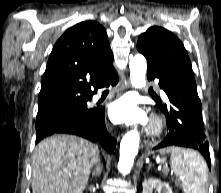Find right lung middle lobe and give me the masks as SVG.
I'll return each instance as SVG.
<instances>
[{
  "label": "right lung middle lobe",
  "instance_id": "obj_1",
  "mask_svg": "<svg viewBox=\"0 0 221 193\" xmlns=\"http://www.w3.org/2000/svg\"><path fill=\"white\" fill-rule=\"evenodd\" d=\"M87 99H54L39 103L36 118V132L56 130L66 125L89 122L95 109L87 108Z\"/></svg>",
  "mask_w": 221,
  "mask_h": 193
}]
</instances>
